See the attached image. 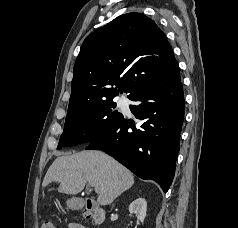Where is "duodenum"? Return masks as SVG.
I'll list each match as a JSON object with an SVG mask.
<instances>
[{"label":"duodenum","instance_id":"1","mask_svg":"<svg viewBox=\"0 0 238 228\" xmlns=\"http://www.w3.org/2000/svg\"><path fill=\"white\" fill-rule=\"evenodd\" d=\"M88 211L92 212L94 221L101 223L105 219V210L93 200H85L81 203Z\"/></svg>","mask_w":238,"mask_h":228}]
</instances>
